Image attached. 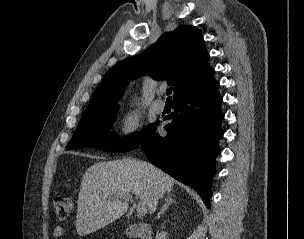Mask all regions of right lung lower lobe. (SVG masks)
Segmentation results:
<instances>
[{
	"instance_id": "98d812e1",
	"label": "right lung lower lobe",
	"mask_w": 304,
	"mask_h": 239,
	"mask_svg": "<svg viewBox=\"0 0 304 239\" xmlns=\"http://www.w3.org/2000/svg\"><path fill=\"white\" fill-rule=\"evenodd\" d=\"M214 70L173 96L174 112L165 120L166 136L155 133L142 142L151 163L178 181L194 188L207 207L212 196L211 179L216 174L215 158L221 153L223 135L222 97ZM158 124V122H157Z\"/></svg>"
}]
</instances>
